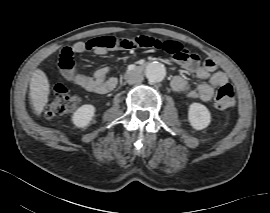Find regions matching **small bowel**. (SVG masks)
Wrapping results in <instances>:
<instances>
[{"mask_svg": "<svg viewBox=\"0 0 270 213\" xmlns=\"http://www.w3.org/2000/svg\"><path fill=\"white\" fill-rule=\"evenodd\" d=\"M131 39H124L112 36L93 37L85 42H77L72 46L64 47L60 52V60L69 59L76 54H81L85 50H94V52L103 56L108 52H117L129 50L134 46L130 43ZM175 42H165L164 48L169 50V45ZM179 65L188 72L195 75L198 80L203 81L196 88H189L187 80L177 75L172 80V88L176 92H185L189 97H197L202 100H211L217 88L229 83V76L225 71L218 70L214 60L209 59L200 64L192 58L190 51L186 48L185 57L178 61ZM107 69L99 68L92 76L86 75L74 63L71 70L62 69V74L66 80L78 84L95 94H107L117 85V79L107 78ZM207 80V81H206Z\"/></svg>", "mask_w": 270, "mask_h": 213, "instance_id": "c3829d8e", "label": "small bowel"}]
</instances>
